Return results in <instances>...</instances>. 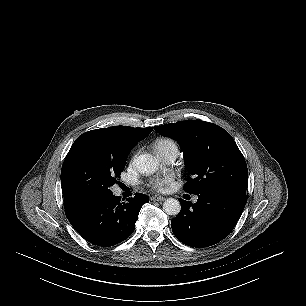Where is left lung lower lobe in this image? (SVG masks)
<instances>
[{"label": "left lung lower lobe", "mask_w": 306, "mask_h": 306, "mask_svg": "<svg viewBox=\"0 0 306 306\" xmlns=\"http://www.w3.org/2000/svg\"><path fill=\"white\" fill-rule=\"evenodd\" d=\"M246 201V195L229 191L199 194L195 204L180 199L181 211L171 220L173 233L192 247L214 245L231 233Z\"/></svg>", "instance_id": "0a47b994"}]
</instances>
